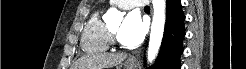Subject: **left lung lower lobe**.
<instances>
[{
  "mask_svg": "<svg viewBox=\"0 0 246 69\" xmlns=\"http://www.w3.org/2000/svg\"><path fill=\"white\" fill-rule=\"evenodd\" d=\"M166 23L160 53L154 69H180L185 37L184 20L180 0H166Z\"/></svg>",
  "mask_w": 246,
  "mask_h": 69,
  "instance_id": "0a47b994",
  "label": "left lung lower lobe"
}]
</instances>
